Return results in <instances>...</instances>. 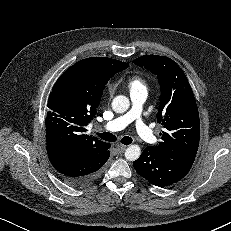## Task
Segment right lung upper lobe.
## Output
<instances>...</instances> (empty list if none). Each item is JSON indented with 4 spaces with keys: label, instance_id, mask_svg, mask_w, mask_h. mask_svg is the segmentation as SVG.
<instances>
[{
    "label": "right lung upper lobe",
    "instance_id": "1",
    "mask_svg": "<svg viewBox=\"0 0 231 231\" xmlns=\"http://www.w3.org/2000/svg\"><path fill=\"white\" fill-rule=\"evenodd\" d=\"M127 66L112 58H87L63 73L75 79L76 92L68 98L50 94L45 120L47 150L77 159L93 157L107 150L108 143L85 134L86 126L95 117L108 80Z\"/></svg>",
    "mask_w": 231,
    "mask_h": 231
}]
</instances>
